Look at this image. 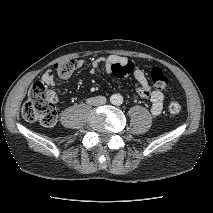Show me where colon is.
<instances>
[{
    "label": "colon",
    "instance_id": "colon-1",
    "mask_svg": "<svg viewBox=\"0 0 213 213\" xmlns=\"http://www.w3.org/2000/svg\"><path fill=\"white\" fill-rule=\"evenodd\" d=\"M59 76L68 77L75 69L72 60H65L55 64ZM134 69L130 60L119 62L113 65L112 74L118 78L129 76ZM151 81L156 90H165L169 85V78L160 68H152L150 71ZM57 97L44 83L36 81L30 87L28 98L22 107V116L28 122H38L43 126H53L57 121L56 109ZM168 109L172 114H178L182 110L181 102L172 97Z\"/></svg>",
    "mask_w": 213,
    "mask_h": 213
}]
</instances>
